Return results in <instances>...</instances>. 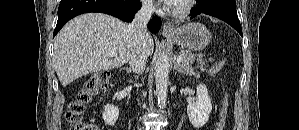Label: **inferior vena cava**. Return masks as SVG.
<instances>
[{
	"instance_id": "1",
	"label": "inferior vena cava",
	"mask_w": 299,
	"mask_h": 130,
	"mask_svg": "<svg viewBox=\"0 0 299 130\" xmlns=\"http://www.w3.org/2000/svg\"><path fill=\"white\" fill-rule=\"evenodd\" d=\"M153 10L154 7L151 1L143 2L141 9L135 14L132 23L128 26L132 39L128 61L136 74H141L146 67L147 54L144 49V41L147 33V23L151 19Z\"/></svg>"
}]
</instances>
